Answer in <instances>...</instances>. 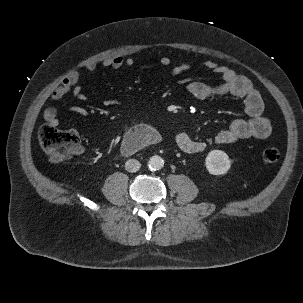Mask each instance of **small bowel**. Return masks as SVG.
<instances>
[{
  "label": "small bowel",
  "instance_id": "c3829d8e",
  "mask_svg": "<svg viewBox=\"0 0 303 303\" xmlns=\"http://www.w3.org/2000/svg\"><path fill=\"white\" fill-rule=\"evenodd\" d=\"M159 63L168 68V71L163 76L164 79L179 76L191 68L188 62L174 63L168 56L160 57ZM102 65L113 69L129 68L134 65V59L115 56L103 60ZM203 67L219 74L222 81L218 84L194 81L186 86L187 92L198 100H210L225 96L240 98L244 102V109L247 115V118H237L226 129L219 131L214 137V142L217 144H229L248 138H267L272 131L271 123L264 116L263 100L252 81L243 75H238L231 68L212 60L205 61ZM85 68L87 72H93L96 69V64L89 63ZM81 76L82 72L80 71L68 73L60 84L52 90L51 99L60 100L69 92H72L78 100H86L87 95L79 84ZM70 111L81 117L88 115L87 109L79 105L71 106ZM44 119L48 124L57 127L60 124L58 109L54 106L46 108ZM175 143L180 150L186 153H198L206 148L204 141L194 138L187 132L177 133Z\"/></svg>",
  "mask_w": 303,
  "mask_h": 303
}]
</instances>
